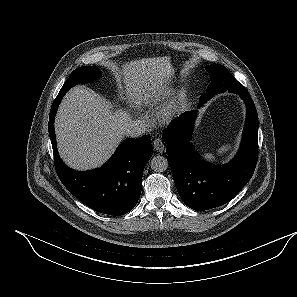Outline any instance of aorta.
Instances as JSON below:
<instances>
[{
	"mask_svg": "<svg viewBox=\"0 0 297 297\" xmlns=\"http://www.w3.org/2000/svg\"><path fill=\"white\" fill-rule=\"evenodd\" d=\"M150 167L155 172H164L168 168V161L163 156H155L151 159Z\"/></svg>",
	"mask_w": 297,
	"mask_h": 297,
	"instance_id": "obj_1",
	"label": "aorta"
}]
</instances>
